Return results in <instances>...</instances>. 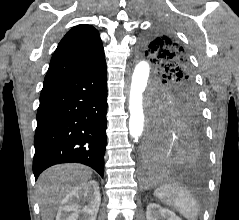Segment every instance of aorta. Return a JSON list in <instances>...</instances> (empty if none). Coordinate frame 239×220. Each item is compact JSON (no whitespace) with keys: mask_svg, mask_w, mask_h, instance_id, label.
<instances>
[{"mask_svg":"<svg viewBox=\"0 0 239 220\" xmlns=\"http://www.w3.org/2000/svg\"><path fill=\"white\" fill-rule=\"evenodd\" d=\"M150 83L149 64L144 60H140L133 66L129 94V133L135 142H138L144 130L143 93Z\"/></svg>","mask_w":239,"mask_h":220,"instance_id":"obj_1","label":"aorta"}]
</instances>
